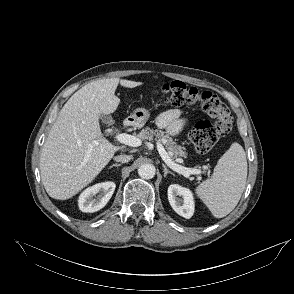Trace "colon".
Masks as SVG:
<instances>
[{
	"mask_svg": "<svg viewBox=\"0 0 294 294\" xmlns=\"http://www.w3.org/2000/svg\"><path fill=\"white\" fill-rule=\"evenodd\" d=\"M162 103L174 106L198 105L209 117L196 123L190 140L198 153L208 152L232 127V115L226 104L210 91H199L180 81L161 85L156 89Z\"/></svg>",
	"mask_w": 294,
	"mask_h": 294,
	"instance_id": "5ec220e1",
	"label": "colon"
}]
</instances>
